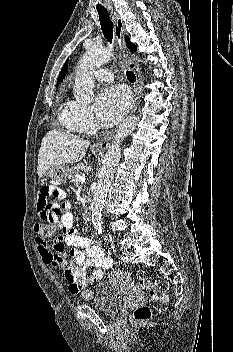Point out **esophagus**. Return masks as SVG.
I'll return each mask as SVG.
<instances>
[{
	"mask_svg": "<svg viewBox=\"0 0 233 352\" xmlns=\"http://www.w3.org/2000/svg\"><path fill=\"white\" fill-rule=\"evenodd\" d=\"M110 12H111L112 20L114 23L115 40H116V43H117V45L123 55V62L130 70H132L134 72V74L136 75V78H137L135 92H136V101L138 103L140 101V97L143 92V80L141 78L140 70H139L138 66L129 58L128 51H127V48H126V45L124 42L125 25H124L123 21L118 16V14L115 11H113V9H110ZM136 107H137L136 104L132 107V109L130 111V115L135 112ZM113 134H114V132H111L103 139L94 143L93 147L104 149V150L107 149L112 142Z\"/></svg>",
	"mask_w": 233,
	"mask_h": 352,
	"instance_id": "34e87169",
	"label": "esophagus"
}]
</instances>
